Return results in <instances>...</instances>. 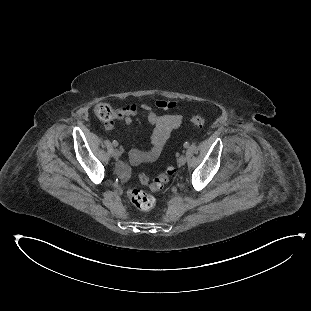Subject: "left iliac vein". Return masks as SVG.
Wrapping results in <instances>:
<instances>
[{
	"instance_id": "left-iliac-vein-1",
	"label": "left iliac vein",
	"mask_w": 311,
	"mask_h": 311,
	"mask_svg": "<svg viewBox=\"0 0 311 311\" xmlns=\"http://www.w3.org/2000/svg\"><path fill=\"white\" fill-rule=\"evenodd\" d=\"M177 162H178V165H179V166L185 165V163H186V157H185L184 155H181V156L178 158Z\"/></svg>"
}]
</instances>
